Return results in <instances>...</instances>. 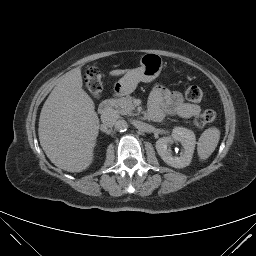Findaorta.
I'll use <instances>...</instances> for the list:
<instances>
[{
	"mask_svg": "<svg viewBox=\"0 0 256 256\" xmlns=\"http://www.w3.org/2000/svg\"><path fill=\"white\" fill-rule=\"evenodd\" d=\"M115 128L119 131H125L128 128V123L125 120H119L117 124L115 125Z\"/></svg>",
	"mask_w": 256,
	"mask_h": 256,
	"instance_id": "obj_1",
	"label": "aorta"
}]
</instances>
